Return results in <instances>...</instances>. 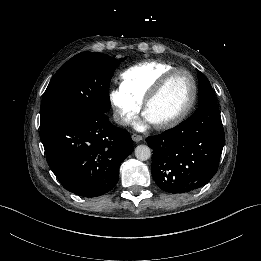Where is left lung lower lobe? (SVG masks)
I'll return each mask as SVG.
<instances>
[{"label":"left lung lower lobe","mask_w":261,"mask_h":261,"mask_svg":"<svg viewBox=\"0 0 261 261\" xmlns=\"http://www.w3.org/2000/svg\"><path fill=\"white\" fill-rule=\"evenodd\" d=\"M154 149L153 178L162 190L187 193L216 174L225 141L216 102L200 108L177 127L146 139Z\"/></svg>","instance_id":"obj_1"}]
</instances>
